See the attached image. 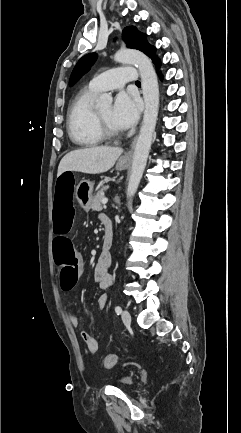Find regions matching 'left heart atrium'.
I'll return each mask as SVG.
<instances>
[{
    "label": "left heart atrium",
    "mask_w": 241,
    "mask_h": 433,
    "mask_svg": "<svg viewBox=\"0 0 241 433\" xmlns=\"http://www.w3.org/2000/svg\"><path fill=\"white\" fill-rule=\"evenodd\" d=\"M139 113V101L126 93H120L115 98L111 111V119L119 130H126L135 125Z\"/></svg>",
    "instance_id": "1"
}]
</instances>
